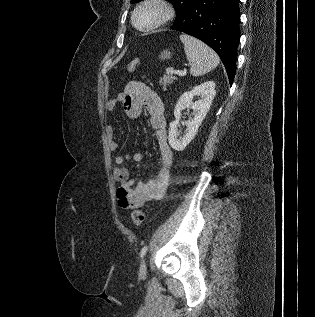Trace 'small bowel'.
<instances>
[{"instance_id":"obj_1","label":"small bowel","mask_w":315,"mask_h":317,"mask_svg":"<svg viewBox=\"0 0 315 317\" xmlns=\"http://www.w3.org/2000/svg\"><path fill=\"white\" fill-rule=\"evenodd\" d=\"M119 104L123 105L126 115L131 119H137L143 109L148 112L149 123L155 132L160 149V167L157 175L154 178L139 181L131 176L127 162L142 161V153L118 154L114 157L113 177L118 184V204L123 209H135L148 201L164 197L170 180L173 153L167 140L164 104L155 91L142 82H129L122 93L108 101L106 108L108 111H113ZM114 131L112 125H108L105 131L112 152H116L119 148L114 138Z\"/></svg>"}]
</instances>
